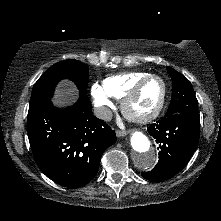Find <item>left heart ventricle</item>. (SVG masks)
Wrapping results in <instances>:
<instances>
[{"mask_svg": "<svg viewBox=\"0 0 221 221\" xmlns=\"http://www.w3.org/2000/svg\"><path fill=\"white\" fill-rule=\"evenodd\" d=\"M162 95V83L158 79L149 80L131 104V111L143 115L158 105Z\"/></svg>", "mask_w": 221, "mask_h": 221, "instance_id": "left-heart-ventricle-1", "label": "left heart ventricle"}]
</instances>
